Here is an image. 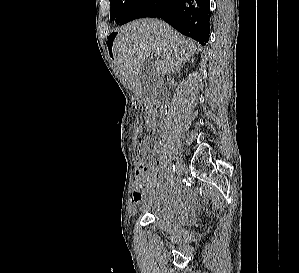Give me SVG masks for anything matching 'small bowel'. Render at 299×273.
I'll return each mask as SVG.
<instances>
[{"label":"small bowel","instance_id":"obj_1","mask_svg":"<svg viewBox=\"0 0 299 273\" xmlns=\"http://www.w3.org/2000/svg\"><path fill=\"white\" fill-rule=\"evenodd\" d=\"M146 128L148 131H155L157 123L153 111L146 113ZM142 153L148 159L152 158L154 151L141 149ZM153 196V204L158 208H188L187 198L179 187L170 188L168 184L160 181V163L145 164L139 162L138 169L134 177V190L132 193V202L139 203L144 195Z\"/></svg>","mask_w":299,"mask_h":273}]
</instances>
